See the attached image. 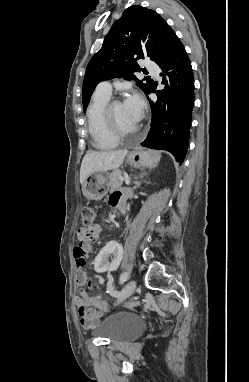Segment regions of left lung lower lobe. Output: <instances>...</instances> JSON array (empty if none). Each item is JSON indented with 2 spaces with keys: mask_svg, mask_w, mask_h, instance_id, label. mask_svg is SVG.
Segmentation results:
<instances>
[{
  "mask_svg": "<svg viewBox=\"0 0 249 382\" xmlns=\"http://www.w3.org/2000/svg\"><path fill=\"white\" fill-rule=\"evenodd\" d=\"M157 64L164 72L172 71L166 73L169 82L163 77L162 83L166 87L156 91L157 101H150L151 129L141 145L167 150L182 163L187 152L194 106V79L190 60L178 37L166 57ZM149 92H155L154 86Z\"/></svg>",
  "mask_w": 249,
  "mask_h": 382,
  "instance_id": "1",
  "label": "left lung lower lobe"
}]
</instances>
